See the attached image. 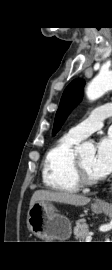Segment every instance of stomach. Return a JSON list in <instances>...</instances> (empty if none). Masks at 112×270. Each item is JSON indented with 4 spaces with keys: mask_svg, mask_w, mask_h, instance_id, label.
<instances>
[{
    "mask_svg": "<svg viewBox=\"0 0 112 270\" xmlns=\"http://www.w3.org/2000/svg\"><path fill=\"white\" fill-rule=\"evenodd\" d=\"M94 213H101L102 206L92 205ZM27 225L30 231L41 239L66 240L71 236V222L57 213L54 205L48 201L34 203L27 214Z\"/></svg>",
    "mask_w": 112,
    "mask_h": 270,
    "instance_id": "stomach-1",
    "label": "stomach"
}]
</instances>
